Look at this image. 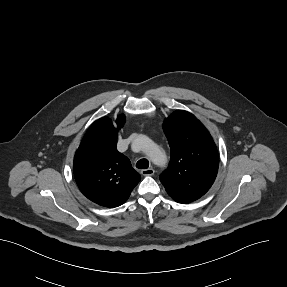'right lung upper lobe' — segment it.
Listing matches in <instances>:
<instances>
[{"mask_svg":"<svg viewBox=\"0 0 287 287\" xmlns=\"http://www.w3.org/2000/svg\"><path fill=\"white\" fill-rule=\"evenodd\" d=\"M115 122L117 127L108 117L95 121L74 157V177L80 191L94 203L111 208L125 203L140 181L130 160L116 149L125 116H118Z\"/></svg>","mask_w":287,"mask_h":287,"instance_id":"obj_1","label":"right lung upper lobe"}]
</instances>
